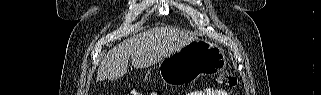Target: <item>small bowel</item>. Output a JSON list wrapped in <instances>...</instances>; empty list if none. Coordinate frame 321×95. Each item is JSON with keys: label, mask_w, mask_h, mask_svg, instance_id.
<instances>
[{"label": "small bowel", "mask_w": 321, "mask_h": 95, "mask_svg": "<svg viewBox=\"0 0 321 95\" xmlns=\"http://www.w3.org/2000/svg\"><path fill=\"white\" fill-rule=\"evenodd\" d=\"M227 93L217 89H207L204 92H196L192 95H226Z\"/></svg>", "instance_id": "1"}]
</instances>
